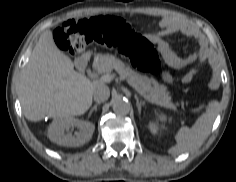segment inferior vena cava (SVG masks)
<instances>
[{"instance_id":"602c4592","label":"inferior vena cava","mask_w":236,"mask_h":182,"mask_svg":"<svg viewBox=\"0 0 236 182\" xmlns=\"http://www.w3.org/2000/svg\"><path fill=\"white\" fill-rule=\"evenodd\" d=\"M110 96V90L104 83H96L94 86L93 97L97 102L106 101Z\"/></svg>"}]
</instances>
